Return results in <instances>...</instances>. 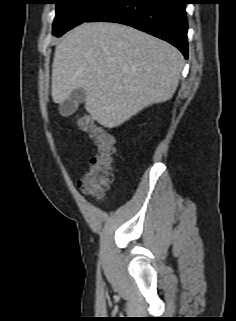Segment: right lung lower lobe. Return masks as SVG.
I'll return each mask as SVG.
<instances>
[{"label": "right lung lower lobe", "instance_id": "right-lung-lower-lobe-1", "mask_svg": "<svg viewBox=\"0 0 236 321\" xmlns=\"http://www.w3.org/2000/svg\"><path fill=\"white\" fill-rule=\"evenodd\" d=\"M185 0H109L84 22L106 21L132 26L177 47L187 58Z\"/></svg>", "mask_w": 236, "mask_h": 321}]
</instances>
